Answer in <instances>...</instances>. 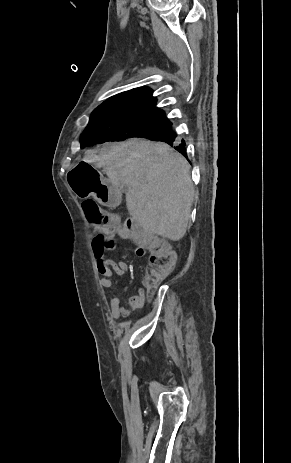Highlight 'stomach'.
Listing matches in <instances>:
<instances>
[{
  "label": "stomach",
  "mask_w": 291,
  "mask_h": 463,
  "mask_svg": "<svg viewBox=\"0 0 291 463\" xmlns=\"http://www.w3.org/2000/svg\"><path fill=\"white\" fill-rule=\"evenodd\" d=\"M80 165L71 170L67 175V182L80 198L93 196L104 206H114L119 202L118 188L102 178L95 168L79 160Z\"/></svg>",
  "instance_id": "stomach-1"
}]
</instances>
